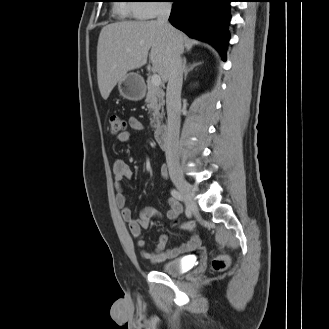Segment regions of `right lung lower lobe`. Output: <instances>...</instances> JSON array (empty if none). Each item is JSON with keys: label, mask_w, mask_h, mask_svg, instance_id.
Returning <instances> with one entry per match:
<instances>
[{"label": "right lung lower lobe", "mask_w": 329, "mask_h": 329, "mask_svg": "<svg viewBox=\"0 0 329 329\" xmlns=\"http://www.w3.org/2000/svg\"><path fill=\"white\" fill-rule=\"evenodd\" d=\"M170 1L174 2L170 23L189 37L211 44L225 60L229 40V3L232 0Z\"/></svg>", "instance_id": "obj_1"}]
</instances>
